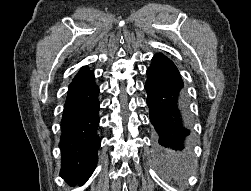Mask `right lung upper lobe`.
<instances>
[{"instance_id":"obj_1","label":"right lung upper lobe","mask_w":251,"mask_h":191,"mask_svg":"<svg viewBox=\"0 0 251 191\" xmlns=\"http://www.w3.org/2000/svg\"><path fill=\"white\" fill-rule=\"evenodd\" d=\"M91 72H92V71H90L88 67H86V66H85V67H82V68L80 69V71L78 72V74L74 77L73 80H77V79H79V78H82V77H84V76L90 74Z\"/></svg>"}]
</instances>
